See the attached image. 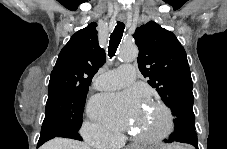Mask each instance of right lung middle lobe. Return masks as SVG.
<instances>
[{
    "label": "right lung middle lobe",
    "instance_id": "1",
    "mask_svg": "<svg viewBox=\"0 0 227 149\" xmlns=\"http://www.w3.org/2000/svg\"><path fill=\"white\" fill-rule=\"evenodd\" d=\"M86 95L87 90L48 92L41 133L78 131L82 123Z\"/></svg>",
    "mask_w": 227,
    "mask_h": 149
}]
</instances>
